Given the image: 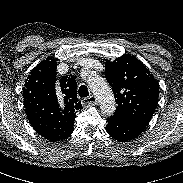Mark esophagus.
I'll return each instance as SVG.
<instances>
[{
  "label": "esophagus",
  "mask_w": 183,
  "mask_h": 183,
  "mask_svg": "<svg viewBox=\"0 0 183 183\" xmlns=\"http://www.w3.org/2000/svg\"><path fill=\"white\" fill-rule=\"evenodd\" d=\"M96 102H97V99H96V97L93 96V95H92V96H89V97H87V98H84V99L82 100V104H83V105H86V106L95 105Z\"/></svg>",
  "instance_id": "1"
}]
</instances>
